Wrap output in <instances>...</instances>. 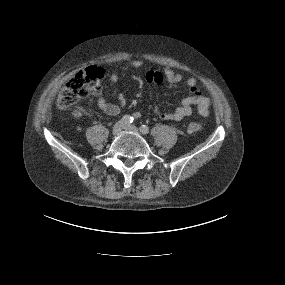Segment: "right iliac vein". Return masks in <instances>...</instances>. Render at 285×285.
<instances>
[{
	"label": "right iliac vein",
	"instance_id": "1",
	"mask_svg": "<svg viewBox=\"0 0 285 285\" xmlns=\"http://www.w3.org/2000/svg\"><path fill=\"white\" fill-rule=\"evenodd\" d=\"M123 128H124V123L122 121H119L113 126L112 133L114 135H118Z\"/></svg>",
	"mask_w": 285,
	"mask_h": 285
}]
</instances>
